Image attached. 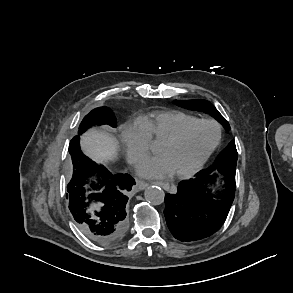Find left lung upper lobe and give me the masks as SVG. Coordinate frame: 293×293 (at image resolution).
I'll return each instance as SVG.
<instances>
[{"label": "left lung upper lobe", "mask_w": 293, "mask_h": 293, "mask_svg": "<svg viewBox=\"0 0 293 293\" xmlns=\"http://www.w3.org/2000/svg\"><path fill=\"white\" fill-rule=\"evenodd\" d=\"M176 105L190 109L203 111L213 116L219 121L226 129H230V125L227 120L218 112V110L207 100H175ZM237 163V150L235 142L231 141L228 146L218 155L214 164L208 168L207 172L218 170L219 172H225L227 170H236Z\"/></svg>", "instance_id": "left-lung-upper-lobe-1"}]
</instances>
